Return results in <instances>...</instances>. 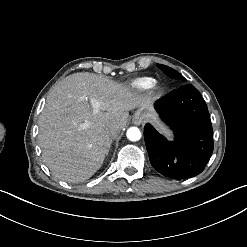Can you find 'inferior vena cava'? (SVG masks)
<instances>
[{"mask_svg": "<svg viewBox=\"0 0 247 247\" xmlns=\"http://www.w3.org/2000/svg\"><path fill=\"white\" fill-rule=\"evenodd\" d=\"M109 135H110V138L111 139H114L118 136V134L121 132V129L119 126H113V127H109L107 129Z\"/></svg>", "mask_w": 247, "mask_h": 247, "instance_id": "602c4592", "label": "inferior vena cava"}]
</instances>
